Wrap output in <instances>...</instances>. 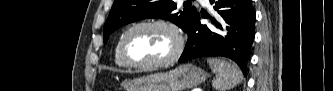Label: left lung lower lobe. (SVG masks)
Returning <instances> with one entry per match:
<instances>
[{
  "instance_id": "0a47b994",
  "label": "left lung lower lobe",
  "mask_w": 333,
  "mask_h": 91,
  "mask_svg": "<svg viewBox=\"0 0 333 91\" xmlns=\"http://www.w3.org/2000/svg\"><path fill=\"white\" fill-rule=\"evenodd\" d=\"M217 11L210 18L211 25L200 24V14L193 18L188 30V41L178 60L224 56L234 60L244 75L254 41L255 12L251 0H210Z\"/></svg>"
}]
</instances>
